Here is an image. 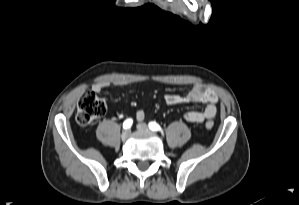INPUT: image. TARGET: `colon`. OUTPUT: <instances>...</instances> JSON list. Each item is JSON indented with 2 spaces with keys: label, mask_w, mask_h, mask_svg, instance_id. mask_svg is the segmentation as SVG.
Returning <instances> with one entry per match:
<instances>
[{
  "label": "colon",
  "mask_w": 299,
  "mask_h": 205,
  "mask_svg": "<svg viewBox=\"0 0 299 205\" xmlns=\"http://www.w3.org/2000/svg\"><path fill=\"white\" fill-rule=\"evenodd\" d=\"M107 110V101L98 96L94 91L87 90L83 93L78 102L76 121L81 126L91 124L93 121L103 116ZM214 126L212 120L205 122V127L210 130Z\"/></svg>",
  "instance_id": "colon-1"
}]
</instances>
